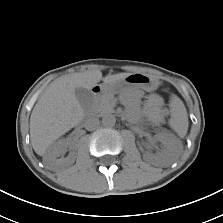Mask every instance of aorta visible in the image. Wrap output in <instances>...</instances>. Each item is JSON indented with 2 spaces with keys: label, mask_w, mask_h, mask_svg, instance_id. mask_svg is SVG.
<instances>
[{
  "label": "aorta",
  "mask_w": 223,
  "mask_h": 223,
  "mask_svg": "<svg viewBox=\"0 0 223 223\" xmlns=\"http://www.w3.org/2000/svg\"><path fill=\"white\" fill-rule=\"evenodd\" d=\"M102 124L105 127H113L116 124V118L113 114H106L102 117Z\"/></svg>",
  "instance_id": "762f6f07"
}]
</instances>
